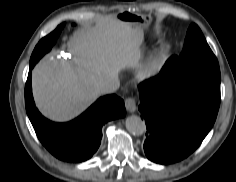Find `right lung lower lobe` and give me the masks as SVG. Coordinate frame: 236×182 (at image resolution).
Returning a JSON list of instances; mask_svg holds the SVG:
<instances>
[{
    "mask_svg": "<svg viewBox=\"0 0 236 182\" xmlns=\"http://www.w3.org/2000/svg\"><path fill=\"white\" fill-rule=\"evenodd\" d=\"M25 85V106L33 128L45 148L66 162H82L97 151L102 138V126L126 115L124 101L116 95L99 98L73 121L54 123L44 118L35 107L31 87V70Z\"/></svg>",
    "mask_w": 236,
    "mask_h": 182,
    "instance_id": "obj_1",
    "label": "right lung lower lobe"
}]
</instances>
